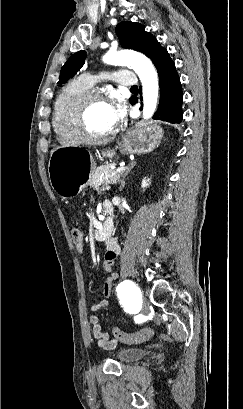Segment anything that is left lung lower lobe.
Returning <instances> with one entry per match:
<instances>
[{"mask_svg": "<svg viewBox=\"0 0 243 409\" xmlns=\"http://www.w3.org/2000/svg\"><path fill=\"white\" fill-rule=\"evenodd\" d=\"M157 72L160 85V101L153 118L174 124L181 123L183 118V93L174 62L170 61L160 67ZM137 100V98L133 97L131 104H135Z\"/></svg>", "mask_w": 243, "mask_h": 409, "instance_id": "0a47b994", "label": "left lung lower lobe"}]
</instances>
